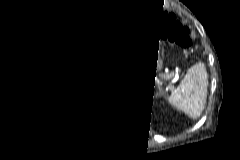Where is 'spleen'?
I'll use <instances>...</instances> for the list:
<instances>
[{
	"instance_id": "1",
	"label": "spleen",
	"mask_w": 240,
	"mask_h": 160,
	"mask_svg": "<svg viewBox=\"0 0 240 160\" xmlns=\"http://www.w3.org/2000/svg\"><path fill=\"white\" fill-rule=\"evenodd\" d=\"M183 91V95L182 92ZM206 94V72L195 67L184 79V83L169 98L170 104L182 108L190 115H199L203 109Z\"/></svg>"
}]
</instances>
